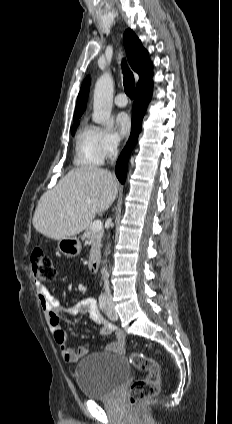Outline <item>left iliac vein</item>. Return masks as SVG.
Masks as SVG:
<instances>
[{
	"mask_svg": "<svg viewBox=\"0 0 232 424\" xmlns=\"http://www.w3.org/2000/svg\"><path fill=\"white\" fill-rule=\"evenodd\" d=\"M106 315L112 321H116L118 318V315L116 311L114 310V307L110 300H107Z\"/></svg>",
	"mask_w": 232,
	"mask_h": 424,
	"instance_id": "4c4485c4",
	"label": "left iliac vein"
}]
</instances>
